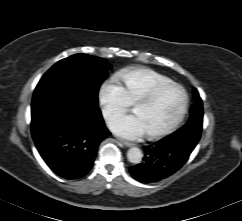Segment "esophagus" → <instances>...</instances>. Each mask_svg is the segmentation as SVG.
<instances>
[{
	"label": "esophagus",
	"instance_id": "esophagus-1",
	"mask_svg": "<svg viewBox=\"0 0 242 221\" xmlns=\"http://www.w3.org/2000/svg\"><path fill=\"white\" fill-rule=\"evenodd\" d=\"M118 141H119L122 145H124V146H126V147H131V146L134 145L133 143L128 142V141H125V140H123V139H118Z\"/></svg>",
	"mask_w": 242,
	"mask_h": 221
}]
</instances>
